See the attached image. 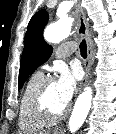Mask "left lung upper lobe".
I'll return each mask as SVG.
<instances>
[{
    "label": "left lung upper lobe",
    "instance_id": "left-lung-upper-lobe-1",
    "mask_svg": "<svg viewBox=\"0 0 116 134\" xmlns=\"http://www.w3.org/2000/svg\"><path fill=\"white\" fill-rule=\"evenodd\" d=\"M48 22V13L45 10L38 11L30 20L25 34L24 49L22 52L19 85L21 89L27 78L52 54V47L43 38V30Z\"/></svg>",
    "mask_w": 116,
    "mask_h": 134
}]
</instances>
